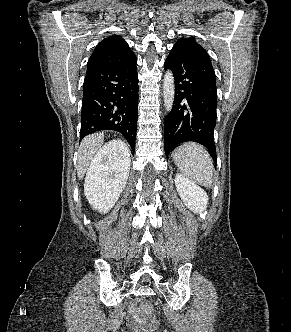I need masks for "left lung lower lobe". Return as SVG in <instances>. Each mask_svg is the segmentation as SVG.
<instances>
[{"label":"left lung lower lobe","mask_w":291,"mask_h":332,"mask_svg":"<svg viewBox=\"0 0 291 332\" xmlns=\"http://www.w3.org/2000/svg\"><path fill=\"white\" fill-rule=\"evenodd\" d=\"M164 66L175 82L173 107L164 121L166 157L180 143L193 141L205 146L216 162L217 87L209 55L173 47Z\"/></svg>","instance_id":"1"}]
</instances>
